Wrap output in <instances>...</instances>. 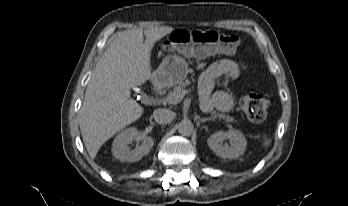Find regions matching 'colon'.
I'll list each match as a JSON object with an SVG mask.
<instances>
[{"instance_id": "obj_1", "label": "colon", "mask_w": 348, "mask_h": 206, "mask_svg": "<svg viewBox=\"0 0 348 206\" xmlns=\"http://www.w3.org/2000/svg\"><path fill=\"white\" fill-rule=\"evenodd\" d=\"M203 40L221 53H233L239 47L240 38L235 34L202 30H178L165 42V52L181 51L184 47ZM269 97L264 93H247L240 100L245 115L254 122L263 121L268 113Z\"/></svg>"}]
</instances>
